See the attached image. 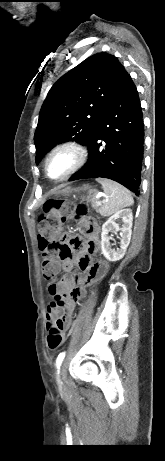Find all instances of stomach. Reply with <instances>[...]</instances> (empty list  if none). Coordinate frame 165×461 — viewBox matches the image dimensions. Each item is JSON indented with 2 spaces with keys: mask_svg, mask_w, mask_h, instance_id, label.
<instances>
[{
  "mask_svg": "<svg viewBox=\"0 0 165 461\" xmlns=\"http://www.w3.org/2000/svg\"><path fill=\"white\" fill-rule=\"evenodd\" d=\"M80 190H82V191H88L89 194L93 193V190L90 189V187H89L88 185H83L82 187H78V188L66 187V188L60 190L58 193H59V194H69V193H71L72 191L77 192V191H80Z\"/></svg>",
  "mask_w": 165,
  "mask_h": 461,
  "instance_id": "1",
  "label": "stomach"
}]
</instances>
